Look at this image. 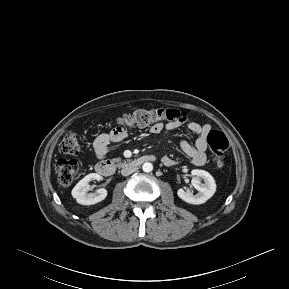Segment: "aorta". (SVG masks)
<instances>
[{"label": "aorta", "mask_w": 289, "mask_h": 289, "mask_svg": "<svg viewBox=\"0 0 289 289\" xmlns=\"http://www.w3.org/2000/svg\"><path fill=\"white\" fill-rule=\"evenodd\" d=\"M142 169H143L144 172L149 173V172H151V171L153 170V165H152V163H150V162H145V163L142 165Z\"/></svg>", "instance_id": "obj_1"}]
</instances>
